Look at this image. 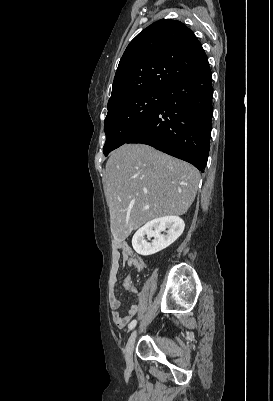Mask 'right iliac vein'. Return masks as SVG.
Returning <instances> with one entry per match:
<instances>
[{"label": "right iliac vein", "mask_w": 273, "mask_h": 401, "mask_svg": "<svg viewBox=\"0 0 273 401\" xmlns=\"http://www.w3.org/2000/svg\"><path fill=\"white\" fill-rule=\"evenodd\" d=\"M136 336H137V331L134 330L131 333V335H130L127 343H126L125 350H124V356H125L126 364L129 367L133 366V350H134Z\"/></svg>", "instance_id": "63e3f726"}]
</instances>
